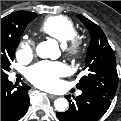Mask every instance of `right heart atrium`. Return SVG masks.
Segmentation results:
<instances>
[{"label":"right heart atrium","mask_w":121,"mask_h":121,"mask_svg":"<svg viewBox=\"0 0 121 121\" xmlns=\"http://www.w3.org/2000/svg\"><path fill=\"white\" fill-rule=\"evenodd\" d=\"M34 50H35L34 41L31 39H26L21 42L17 51V55L18 57H21V58H29L33 55Z\"/></svg>","instance_id":"right-heart-atrium-1"}]
</instances>
